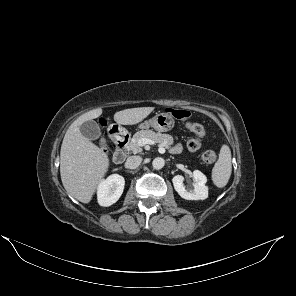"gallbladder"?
<instances>
[{
  "instance_id": "1",
  "label": "gallbladder",
  "mask_w": 296,
  "mask_h": 296,
  "mask_svg": "<svg viewBox=\"0 0 296 296\" xmlns=\"http://www.w3.org/2000/svg\"><path fill=\"white\" fill-rule=\"evenodd\" d=\"M80 132L89 140H96L101 136L99 124L93 120L84 122L80 126Z\"/></svg>"
}]
</instances>
